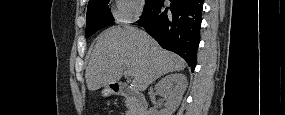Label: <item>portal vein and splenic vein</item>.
Returning a JSON list of instances; mask_svg holds the SVG:
<instances>
[{
  "label": "portal vein and splenic vein",
  "mask_w": 285,
  "mask_h": 115,
  "mask_svg": "<svg viewBox=\"0 0 285 115\" xmlns=\"http://www.w3.org/2000/svg\"><path fill=\"white\" fill-rule=\"evenodd\" d=\"M125 74H126L127 76H132V74H131V71H130V70H126V71H125Z\"/></svg>",
  "instance_id": "portal-vein-and-splenic-vein-1"
}]
</instances>
